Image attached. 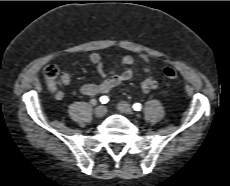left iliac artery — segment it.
Wrapping results in <instances>:
<instances>
[{
    "mask_svg": "<svg viewBox=\"0 0 230 186\" xmlns=\"http://www.w3.org/2000/svg\"><path fill=\"white\" fill-rule=\"evenodd\" d=\"M133 109H134L135 111H140V110L142 109V105H141L140 103H135V104L133 105Z\"/></svg>",
    "mask_w": 230,
    "mask_h": 186,
    "instance_id": "left-iliac-artery-1",
    "label": "left iliac artery"
}]
</instances>
